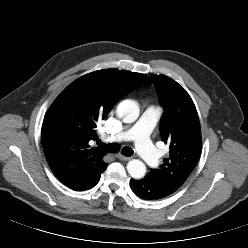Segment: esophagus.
<instances>
[{
	"label": "esophagus",
	"instance_id": "34e87169",
	"mask_svg": "<svg viewBox=\"0 0 248 248\" xmlns=\"http://www.w3.org/2000/svg\"><path fill=\"white\" fill-rule=\"evenodd\" d=\"M116 157H117L118 159H120V160H123V161H128V160L131 159L130 157H126V156H124V155H122V154H117Z\"/></svg>",
	"mask_w": 248,
	"mask_h": 248
}]
</instances>
